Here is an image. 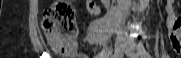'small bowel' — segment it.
Instances as JSON below:
<instances>
[{
	"label": "small bowel",
	"mask_w": 181,
	"mask_h": 58,
	"mask_svg": "<svg viewBox=\"0 0 181 58\" xmlns=\"http://www.w3.org/2000/svg\"><path fill=\"white\" fill-rule=\"evenodd\" d=\"M85 6L91 14H99L100 7L97 5L95 1L86 0ZM166 27L169 35V40L171 47L177 53H181V16H178L174 0H169L166 6ZM89 42L95 43L96 39L94 35L89 36Z\"/></svg>",
	"instance_id": "small-bowel-1"
}]
</instances>
